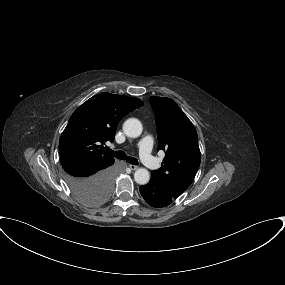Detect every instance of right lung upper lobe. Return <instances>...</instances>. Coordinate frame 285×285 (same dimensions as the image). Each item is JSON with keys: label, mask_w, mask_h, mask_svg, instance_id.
<instances>
[{"label": "right lung upper lobe", "mask_w": 285, "mask_h": 285, "mask_svg": "<svg viewBox=\"0 0 285 285\" xmlns=\"http://www.w3.org/2000/svg\"><path fill=\"white\" fill-rule=\"evenodd\" d=\"M141 106L143 102L138 98L106 92L93 96L79 106L59 140L63 169L84 162H114L102 145L106 141L113 142L121 118Z\"/></svg>", "instance_id": "cb5924a9"}]
</instances>
